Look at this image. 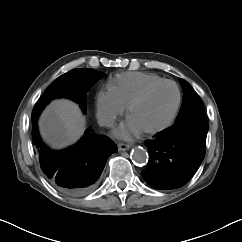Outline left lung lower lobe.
Returning a JSON list of instances; mask_svg holds the SVG:
<instances>
[{
    "label": "left lung lower lobe",
    "mask_w": 242,
    "mask_h": 242,
    "mask_svg": "<svg viewBox=\"0 0 242 242\" xmlns=\"http://www.w3.org/2000/svg\"><path fill=\"white\" fill-rule=\"evenodd\" d=\"M206 136L199 132L174 135L161 131L146 140L149 161L141 172L144 180L159 190L185 185L204 159Z\"/></svg>",
    "instance_id": "obj_1"
}]
</instances>
